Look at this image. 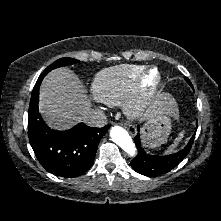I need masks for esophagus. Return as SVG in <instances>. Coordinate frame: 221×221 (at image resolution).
<instances>
[{"instance_id": "obj_1", "label": "esophagus", "mask_w": 221, "mask_h": 221, "mask_svg": "<svg viewBox=\"0 0 221 221\" xmlns=\"http://www.w3.org/2000/svg\"><path fill=\"white\" fill-rule=\"evenodd\" d=\"M123 126H124V128H126L127 130H129L132 135L136 134L135 128H133V127L130 126L129 124L124 123Z\"/></svg>"}]
</instances>
